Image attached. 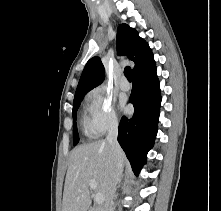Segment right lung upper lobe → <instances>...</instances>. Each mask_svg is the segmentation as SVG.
<instances>
[{"label":"right lung upper lobe","instance_id":"1","mask_svg":"<svg viewBox=\"0 0 221 211\" xmlns=\"http://www.w3.org/2000/svg\"><path fill=\"white\" fill-rule=\"evenodd\" d=\"M118 54L126 55L135 63L133 75L149 68L155 61L148 43L138 36V32L127 24H120L117 32ZM105 77L104 66L99 57L91 58L81 75L75 98L84 96L102 83Z\"/></svg>","mask_w":221,"mask_h":211}]
</instances>
